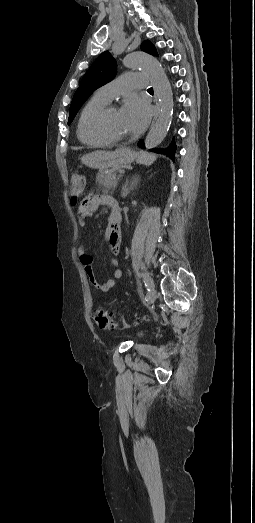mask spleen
<instances>
[{
    "mask_svg": "<svg viewBox=\"0 0 255 523\" xmlns=\"http://www.w3.org/2000/svg\"><path fill=\"white\" fill-rule=\"evenodd\" d=\"M156 156L155 154H148V152H143L141 156H139L137 162L138 164H144V166H151L153 162H155Z\"/></svg>",
    "mask_w": 255,
    "mask_h": 523,
    "instance_id": "3e777b00",
    "label": "spleen"
}]
</instances>
